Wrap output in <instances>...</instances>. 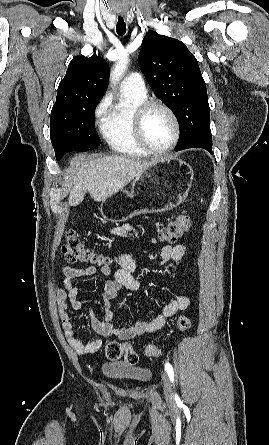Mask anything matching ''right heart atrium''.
Listing matches in <instances>:
<instances>
[{"label":"right heart atrium","mask_w":269,"mask_h":445,"mask_svg":"<svg viewBox=\"0 0 269 445\" xmlns=\"http://www.w3.org/2000/svg\"><path fill=\"white\" fill-rule=\"evenodd\" d=\"M109 99L107 96L103 97L94 109V116L97 119L103 118L108 111Z\"/></svg>","instance_id":"1"}]
</instances>
